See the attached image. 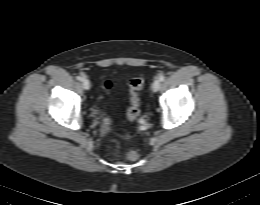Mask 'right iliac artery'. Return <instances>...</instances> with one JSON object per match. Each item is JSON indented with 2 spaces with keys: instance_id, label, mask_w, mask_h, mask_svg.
I'll return each mask as SVG.
<instances>
[{
  "instance_id": "1",
  "label": "right iliac artery",
  "mask_w": 260,
  "mask_h": 205,
  "mask_svg": "<svg viewBox=\"0 0 260 205\" xmlns=\"http://www.w3.org/2000/svg\"><path fill=\"white\" fill-rule=\"evenodd\" d=\"M76 78H77V80H79V81H82V80H83V77H82V76H77Z\"/></svg>"
}]
</instances>
